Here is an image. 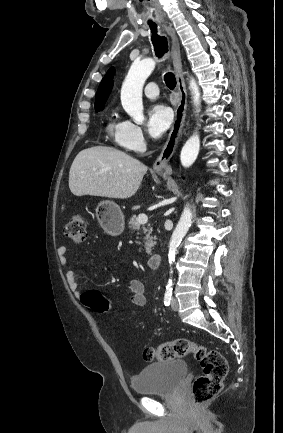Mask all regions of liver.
Here are the masks:
<instances>
[{
  "label": "liver",
  "instance_id": "liver-1",
  "mask_svg": "<svg viewBox=\"0 0 283 433\" xmlns=\"http://www.w3.org/2000/svg\"><path fill=\"white\" fill-rule=\"evenodd\" d=\"M147 166L111 146L80 150L69 172V188L76 196L93 194L129 198L137 192Z\"/></svg>",
  "mask_w": 283,
  "mask_h": 433
}]
</instances>
